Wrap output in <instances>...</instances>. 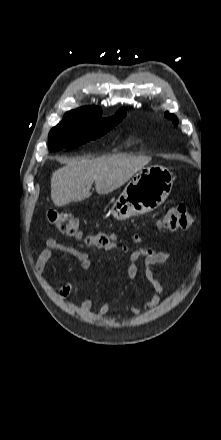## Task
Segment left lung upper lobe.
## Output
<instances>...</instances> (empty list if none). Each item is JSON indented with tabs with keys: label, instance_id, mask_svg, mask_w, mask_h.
Here are the masks:
<instances>
[{
	"label": "left lung upper lobe",
	"instance_id": "5c2ea615",
	"mask_svg": "<svg viewBox=\"0 0 221 440\" xmlns=\"http://www.w3.org/2000/svg\"><path fill=\"white\" fill-rule=\"evenodd\" d=\"M165 117L171 119L175 126L177 125V122H178L177 117L174 114H170V113L166 112Z\"/></svg>",
	"mask_w": 221,
	"mask_h": 440
}]
</instances>
